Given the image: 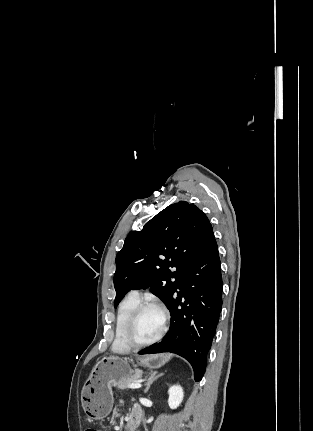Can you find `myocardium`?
<instances>
[{"label": "myocardium", "mask_w": 313, "mask_h": 431, "mask_svg": "<svg viewBox=\"0 0 313 431\" xmlns=\"http://www.w3.org/2000/svg\"><path fill=\"white\" fill-rule=\"evenodd\" d=\"M147 308H156L158 309L161 314H162V327L160 329V331L158 332V334L153 337L152 339L148 340V341H144V342H139L135 339L134 337V331L137 325V321L138 318L140 316V314ZM167 322H168V314L166 312V310L159 305L158 303L152 302V301H145V302H140L132 311L126 328H125V333H124V339L126 341V343L131 347V348H144L147 346H150L156 342H158L162 336L164 335L166 328H167Z\"/></svg>", "instance_id": "f54148a6"}]
</instances>
